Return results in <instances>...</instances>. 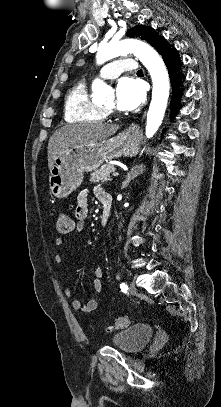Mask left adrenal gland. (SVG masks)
Wrapping results in <instances>:
<instances>
[{
	"label": "left adrenal gland",
	"mask_w": 221,
	"mask_h": 407,
	"mask_svg": "<svg viewBox=\"0 0 221 407\" xmlns=\"http://www.w3.org/2000/svg\"><path fill=\"white\" fill-rule=\"evenodd\" d=\"M144 170H145V166L142 165V164L141 165H136L135 167H133L131 169V171H129L127 173L126 178L122 182L121 189L126 188L128 186V184L131 182V180L135 179L137 176L142 174Z\"/></svg>",
	"instance_id": "a2214340"
}]
</instances>
